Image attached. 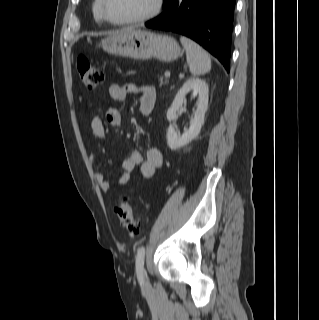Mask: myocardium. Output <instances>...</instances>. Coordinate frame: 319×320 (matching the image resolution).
<instances>
[{
  "label": "myocardium",
  "instance_id": "f54148a6",
  "mask_svg": "<svg viewBox=\"0 0 319 320\" xmlns=\"http://www.w3.org/2000/svg\"><path fill=\"white\" fill-rule=\"evenodd\" d=\"M163 4H164V0H155V6L149 13L142 16L130 18V19H125V20H114L109 16L106 9V0H100V10H101V15L103 19L108 23L113 25H128V24L146 22L148 20L155 18L161 13Z\"/></svg>",
  "mask_w": 319,
  "mask_h": 320
}]
</instances>
